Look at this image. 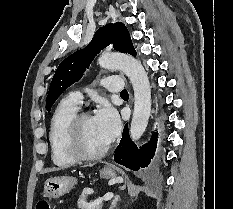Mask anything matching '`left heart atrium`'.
I'll list each match as a JSON object with an SVG mask.
<instances>
[{
  "mask_svg": "<svg viewBox=\"0 0 233 209\" xmlns=\"http://www.w3.org/2000/svg\"><path fill=\"white\" fill-rule=\"evenodd\" d=\"M93 118L99 132L107 142L112 141L118 135L120 121L117 113L110 105L102 104Z\"/></svg>",
  "mask_w": 233,
  "mask_h": 209,
  "instance_id": "1",
  "label": "left heart atrium"
}]
</instances>
